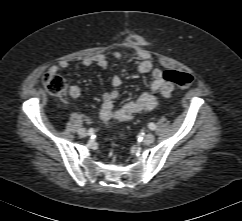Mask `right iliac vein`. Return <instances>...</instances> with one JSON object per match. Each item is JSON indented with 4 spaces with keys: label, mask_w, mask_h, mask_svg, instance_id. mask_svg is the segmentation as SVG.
I'll list each match as a JSON object with an SVG mask.
<instances>
[{
    "label": "right iliac vein",
    "mask_w": 242,
    "mask_h": 221,
    "mask_svg": "<svg viewBox=\"0 0 242 221\" xmlns=\"http://www.w3.org/2000/svg\"><path fill=\"white\" fill-rule=\"evenodd\" d=\"M78 134L80 137H86L88 135L87 131L83 128L78 131Z\"/></svg>",
    "instance_id": "right-iliac-vein-1"
}]
</instances>
